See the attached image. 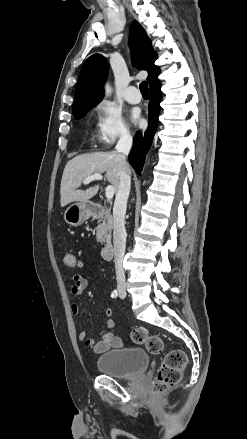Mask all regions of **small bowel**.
Listing matches in <instances>:
<instances>
[{
	"label": "small bowel",
	"mask_w": 247,
	"mask_h": 439,
	"mask_svg": "<svg viewBox=\"0 0 247 439\" xmlns=\"http://www.w3.org/2000/svg\"><path fill=\"white\" fill-rule=\"evenodd\" d=\"M73 284L71 286V292L74 295H80L84 292L88 285L87 279L80 275L74 274L72 277ZM71 312L74 315L79 313V306L76 303L71 305ZM112 310L107 308L104 312L103 325L106 329L110 330L114 327V321L111 319ZM79 340L84 343L88 348H91L94 353L101 354L112 348H118L123 345V341L120 337L116 336L112 332H107L103 335L102 340L95 341L93 338H89L85 331L79 333Z\"/></svg>",
	"instance_id": "small-bowel-1"
}]
</instances>
